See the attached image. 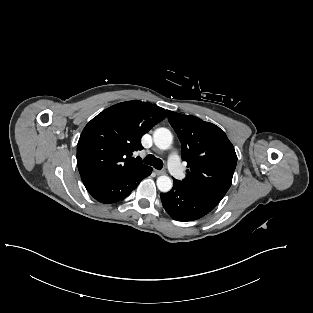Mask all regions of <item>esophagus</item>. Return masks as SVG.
Instances as JSON below:
<instances>
[{
	"instance_id": "obj_1",
	"label": "esophagus",
	"mask_w": 313,
	"mask_h": 313,
	"mask_svg": "<svg viewBox=\"0 0 313 313\" xmlns=\"http://www.w3.org/2000/svg\"><path fill=\"white\" fill-rule=\"evenodd\" d=\"M155 173L157 175H164V174H166V171L165 170H155Z\"/></svg>"
}]
</instances>
